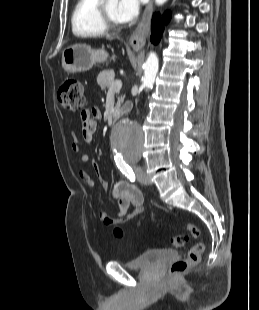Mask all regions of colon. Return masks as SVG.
Returning a JSON list of instances; mask_svg holds the SVG:
<instances>
[{
	"label": "colon",
	"instance_id": "colon-1",
	"mask_svg": "<svg viewBox=\"0 0 259 310\" xmlns=\"http://www.w3.org/2000/svg\"><path fill=\"white\" fill-rule=\"evenodd\" d=\"M57 103L60 108L72 111L81 112L84 110L85 99L83 95L82 84L77 79L68 78L61 85L57 93ZM187 231L193 236H199V229L192 224L186 225ZM114 235L117 238L123 236V231L116 227L114 229ZM188 238L185 235H177L171 239V246L173 248L183 247ZM204 246L201 243L191 245L187 250V256L184 259L176 260L170 267L171 274H181L187 271L190 267L196 265L199 260L201 253L203 252Z\"/></svg>",
	"mask_w": 259,
	"mask_h": 310
}]
</instances>
